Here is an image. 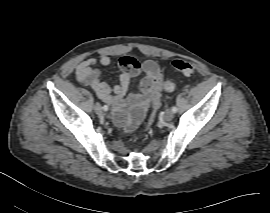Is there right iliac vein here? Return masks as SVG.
Segmentation results:
<instances>
[{"label": "right iliac vein", "instance_id": "63e3f726", "mask_svg": "<svg viewBox=\"0 0 270 213\" xmlns=\"http://www.w3.org/2000/svg\"><path fill=\"white\" fill-rule=\"evenodd\" d=\"M94 110H95V112H96L97 114H101L102 108H101V106H100L99 103H96V104L94 105Z\"/></svg>", "mask_w": 270, "mask_h": 213}]
</instances>
